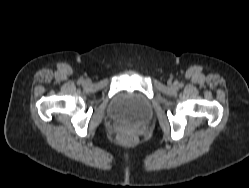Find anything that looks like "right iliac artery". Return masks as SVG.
Listing matches in <instances>:
<instances>
[{"mask_svg": "<svg viewBox=\"0 0 249 188\" xmlns=\"http://www.w3.org/2000/svg\"><path fill=\"white\" fill-rule=\"evenodd\" d=\"M82 82H83V78H80V79H79V83H82Z\"/></svg>", "mask_w": 249, "mask_h": 188, "instance_id": "obj_1", "label": "right iliac artery"}]
</instances>
